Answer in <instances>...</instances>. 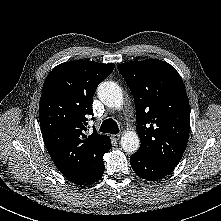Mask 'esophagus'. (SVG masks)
Wrapping results in <instances>:
<instances>
[{"instance_id": "34e87169", "label": "esophagus", "mask_w": 221, "mask_h": 221, "mask_svg": "<svg viewBox=\"0 0 221 221\" xmlns=\"http://www.w3.org/2000/svg\"><path fill=\"white\" fill-rule=\"evenodd\" d=\"M112 138H113L115 141H118V140L121 138V134H114V135H112Z\"/></svg>"}]
</instances>
